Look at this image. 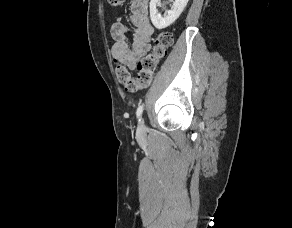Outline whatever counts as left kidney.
I'll use <instances>...</instances> for the list:
<instances>
[{
    "label": "left kidney",
    "instance_id": "1",
    "mask_svg": "<svg viewBox=\"0 0 292 228\" xmlns=\"http://www.w3.org/2000/svg\"><path fill=\"white\" fill-rule=\"evenodd\" d=\"M189 0H175L173 3V7L163 16L158 13L157 6L160 0H151L150 1V18L152 24L157 29H164L170 26L175 20L180 16L186 7Z\"/></svg>",
    "mask_w": 292,
    "mask_h": 228
}]
</instances>
